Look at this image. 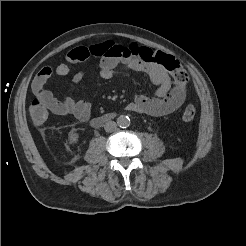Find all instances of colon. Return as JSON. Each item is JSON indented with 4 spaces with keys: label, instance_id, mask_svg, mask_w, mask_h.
<instances>
[{
    "label": "colon",
    "instance_id": "5ec220e1",
    "mask_svg": "<svg viewBox=\"0 0 246 246\" xmlns=\"http://www.w3.org/2000/svg\"><path fill=\"white\" fill-rule=\"evenodd\" d=\"M137 55L144 62L156 63L162 66L177 85H187L188 75L186 71L172 56L161 51H152L147 47H140L137 51ZM35 94V98L30 104V116L36 125H41L46 121L50 109L44 96V91L38 90ZM195 115V107L188 105L182 113V120L184 122H191L195 118Z\"/></svg>",
    "mask_w": 246,
    "mask_h": 246
}]
</instances>
